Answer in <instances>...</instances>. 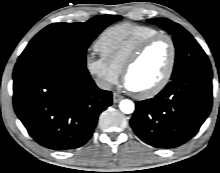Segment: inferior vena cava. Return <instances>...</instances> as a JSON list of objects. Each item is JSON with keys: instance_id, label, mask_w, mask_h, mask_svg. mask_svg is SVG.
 <instances>
[{"instance_id": "602c4592", "label": "inferior vena cava", "mask_w": 220, "mask_h": 173, "mask_svg": "<svg viewBox=\"0 0 220 173\" xmlns=\"http://www.w3.org/2000/svg\"><path fill=\"white\" fill-rule=\"evenodd\" d=\"M95 82L100 89L110 90L112 88V84L103 78H97Z\"/></svg>"}]
</instances>
